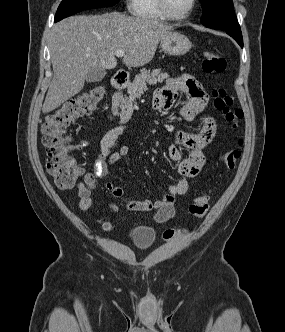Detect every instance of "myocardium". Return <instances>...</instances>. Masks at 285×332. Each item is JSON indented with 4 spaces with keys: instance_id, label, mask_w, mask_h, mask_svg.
Instances as JSON below:
<instances>
[{
    "instance_id": "myocardium-1",
    "label": "myocardium",
    "mask_w": 285,
    "mask_h": 332,
    "mask_svg": "<svg viewBox=\"0 0 285 332\" xmlns=\"http://www.w3.org/2000/svg\"><path fill=\"white\" fill-rule=\"evenodd\" d=\"M158 2V6L160 11L162 12V14L170 20H174V21H182L187 19L192 12L194 11L196 4H197V0H191V5L189 7V9L182 15H175L171 12L169 6H168V1L167 0H157Z\"/></svg>"
}]
</instances>
